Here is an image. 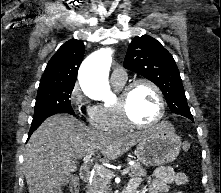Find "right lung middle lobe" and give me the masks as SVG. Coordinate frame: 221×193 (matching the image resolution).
<instances>
[{
	"instance_id": "right-lung-middle-lobe-1",
	"label": "right lung middle lobe",
	"mask_w": 221,
	"mask_h": 193,
	"mask_svg": "<svg viewBox=\"0 0 221 193\" xmlns=\"http://www.w3.org/2000/svg\"><path fill=\"white\" fill-rule=\"evenodd\" d=\"M74 85L47 86L38 89L33 121L56 113L75 114L70 97Z\"/></svg>"
}]
</instances>
